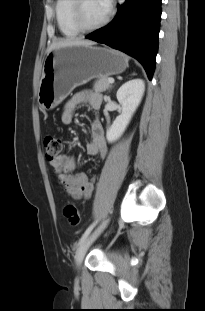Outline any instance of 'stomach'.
Returning a JSON list of instances; mask_svg holds the SVG:
<instances>
[{"label":"stomach","mask_w":205,"mask_h":311,"mask_svg":"<svg viewBox=\"0 0 205 311\" xmlns=\"http://www.w3.org/2000/svg\"><path fill=\"white\" fill-rule=\"evenodd\" d=\"M128 67L122 53L91 45H72L49 52L44 60L38 103L45 110L59 105L72 90L93 78L120 74Z\"/></svg>","instance_id":"obj_1"}]
</instances>
